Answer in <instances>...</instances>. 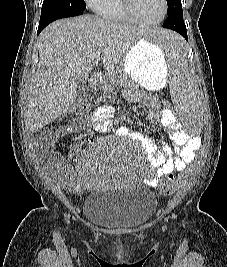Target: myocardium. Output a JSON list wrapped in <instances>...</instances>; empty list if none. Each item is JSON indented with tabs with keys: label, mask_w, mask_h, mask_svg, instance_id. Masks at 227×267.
I'll return each mask as SVG.
<instances>
[{
	"label": "myocardium",
	"mask_w": 227,
	"mask_h": 267,
	"mask_svg": "<svg viewBox=\"0 0 227 267\" xmlns=\"http://www.w3.org/2000/svg\"><path fill=\"white\" fill-rule=\"evenodd\" d=\"M135 0H121L122 8L125 11V13L136 23L142 24V25H158L160 24L167 16L168 13V1L162 0L163 4V13L161 17L158 20L155 21H146L143 20L136 12L135 6H134Z\"/></svg>",
	"instance_id": "obj_1"
}]
</instances>
